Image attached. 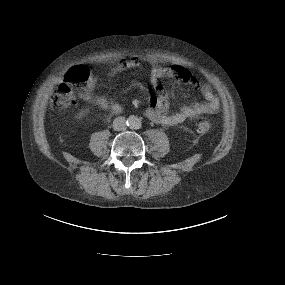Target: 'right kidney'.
I'll return each instance as SVG.
<instances>
[{
    "instance_id": "1",
    "label": "right kidney",
    "mask_w": 285,
    "mask_h": 285,
    "mask_svg": "<svg viewBox=\"0 0 285 285\" xmlns=\"http://www.w3.org/2000/svg\"><path fill=\"white\" fill-rule=\"evenodd\" d=\"M83 115H84V111L80 112L76 118L80 119V118H82Z\"/></svg>"
}]
</instances>
